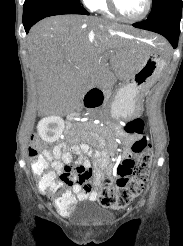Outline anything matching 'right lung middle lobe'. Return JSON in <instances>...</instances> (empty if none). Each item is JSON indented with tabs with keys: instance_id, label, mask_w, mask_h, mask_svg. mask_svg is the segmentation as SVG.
<instances>
[{
	"instance_id": "right-lung-middle-lobe-1",
	"label": "right lung middle lobe",
	"mask_w": 183,
	"mask_h": 246,
	"mask_svg": "<svg viewBox=\"0 0 183 246\" xmlns=\"http://www.w3.org/2000/svg\"><path fill=\"white\" fill-rule=\"evenodd\" d=\"M79 4L78 0H25L23 13L36 12L61 5Z\"/></svg>"
}]
</instances>
